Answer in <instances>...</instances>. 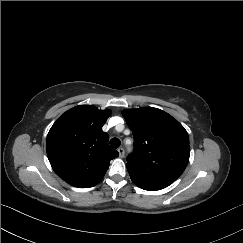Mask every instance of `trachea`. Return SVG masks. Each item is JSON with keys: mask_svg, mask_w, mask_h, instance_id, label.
Wrapping results in <instances>:
<instances>
[{"mask_svg": "<svg viewBox=\"0 0 243 243\" xmlns=\"http://www.w3.org/2000/svg\"><path fill=\"white\" fill-rule=\"evenodd\" d=\"M121 142L118 138H112L110 140V145L113 147V148H118L120 146Z\"/></svg>", "mask_w": 243, "mask_h": 243, "instance_id": "3493384b", "label": "trachea"}]
</instances>
